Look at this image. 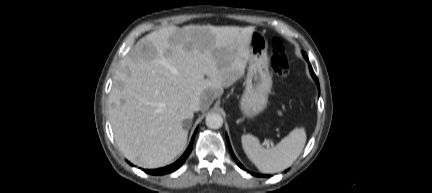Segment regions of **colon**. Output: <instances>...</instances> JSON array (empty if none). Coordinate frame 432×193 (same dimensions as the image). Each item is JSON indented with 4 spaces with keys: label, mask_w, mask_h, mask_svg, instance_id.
<instances>
[{
    "label": "colon",
    "mask_w": 432,
    "mask_h": 193,
    "mask_svg": "<svg viewBox=\"0 0 432 193\" xmlns=\"http://www.w3.org/2000/svg\"><path fill=\"white\" fill-rule=\"evenodd\" d=\"M271 69L280 78L285 79L289 73V61L280 39L274 38L272 42Z\"/></svg>",
    "instance_id": "5ec220e1"
}]
</instances>
